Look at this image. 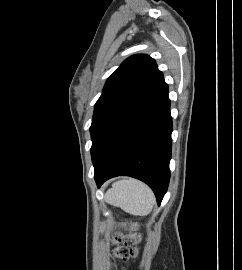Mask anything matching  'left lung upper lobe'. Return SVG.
I'll return each instance as SVG.
<instances>
[{
    "label": "left lung upper lobe",
    "mask_w": 242,
    "mask_h": 270,
    "mask_svg": "<svg viewBox=\"0 0 242 270\" xmlns=\"http://www.w3.org/2000/svg\"><path fill=\"white\" fill-rule=\"evenodd\" d=\"M163 80L155 60L144 54L126 59L107 79L95 104L90 127L92 160L113 126L148 97Z\"/></svg>",
    "instance_id": "obj_1"
}]
</instances>
